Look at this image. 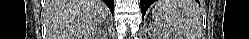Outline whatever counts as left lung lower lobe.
I'll return each mask as SVG.
<instances>
[{
  "label": "left lung lower lobe",
  "mask_w": 249,
  "mask_h": 39,
  "mask_svg": "<svg viewBox=\"0 0 249 39\" xmlns=\"http://www.w3.org/2000/svg\"><path fill=\"white\" fill-rule=\"evenodd\" d=\"M154 2V0H140L141 4V11H142V16L144 17V14L148 7Z\"/></svg>",
  "instance_id": "left-lung-lower-lobe-1"
}]
</instances>
